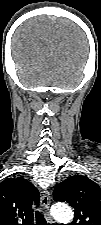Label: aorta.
<instances>
[{
    "label": "aorta",
    "instance_id": "aorta-1",
    "mask_svg": "<svg viewBox=\"0 0 101 225\" xmlns=\"http://www.w3.org/2000/svg\"><path fill=\"white\" fill-rule=\"evenodd\" d=\"M52 215L60 224H68L73 218V212L66 204L54 205L52 207Z\"/></svg>",
    "mask_w": 101,
    "mask_h": 225
}]
</instances>
